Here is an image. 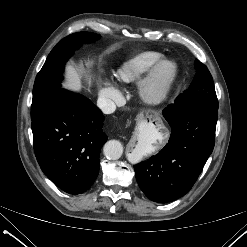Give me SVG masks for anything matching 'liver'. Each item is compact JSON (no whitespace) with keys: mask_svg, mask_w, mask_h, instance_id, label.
Wrapping results in <instances>:
<instances>
[{"mask_svg":"<svg viewBox=\"0 0 247 247\" xmlns=\"http://www.w3.org/2000/svg\"><path fill=\"white\" fill-rule=\"evenodd\" d=\"M84 77L90 87L92 83L91 75L84 72ZM63 87L75 92H79L83 87L82 75L72 65H68L66 67L65 82L63 83Z\"/></svg>","mask_w":247,"mask_h":247,"instance_id":"6515ba94","label":"liver"}]
</instances>
